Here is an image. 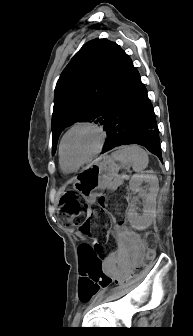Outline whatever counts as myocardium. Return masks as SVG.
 I'll return each mask as SVG.
<instances>
[{
	"label": "myocardium",
	"instance_id": "myocardium-1",
	"mask_svg": "<svg viewBox=\"0 0 193 336\" xmlns=\"http://www.w3.org/2000/svg\"><path fill=\"white\" fill-rule=\"evenodd\" d=\"M80 127H87V128H91V129L95 130L99 135V144H98L96 150L90 156H88L86 159L80 161L79 163H71L70 161H68L66 159V157L64 155V144H65V140H66L67 136L72 131H74L75 129L80 128ZM105 140H106L105 131L103 130V128L98 126L96 123L89 122V121L77 122V123L73 124L71 127H69L61 138L60 145H59L60 158L63 161V163L66 164L67 166H69L71 168H79L83 164L92 160L94 157H96L102 151V149L104 147V144H105Z\"/></svg>",
	"mask_w": 193,
	"mask_h": 336
}]
</instances>
